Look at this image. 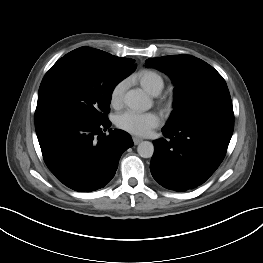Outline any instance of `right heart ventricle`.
I'll return each mask as SVG.
<instances>
[{
	"label": "right heart ventricle",
	"instance_id": "e07e8e85",
	"mask_svg": "<svg viewBox=\"0 0 263 263\" xmlns=\"http://www.w3.org/2000/svg\"><path fill=\"white\" fill-rule=\"evenodd\" d=\"M135 81L148 93L157 95L164 87L162 76L149 69L139 71L134 76Z\"/></svg>",
	"mask_w": 263,
	"mask_h": 263
}]
</instances>
